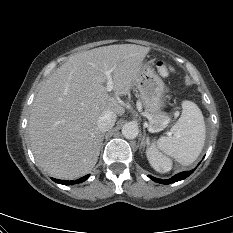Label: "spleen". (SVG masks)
<instances>
[{
	"label": "spleen",
	"instance_id": "1",
	"mask_svg": "<svg viewBox=\"0 0 233 233\" xmlns=\"http://www.w3.org/2000/svg\"><path fill=\"white\" fill-rule=\"evenodd\" d=\"M205 137L206 127L201 110L194 102L183 101L182 114L172 126L170 135L160 137L156 145L148 148L147 157L152 167L161 173L172 168V161L165 155L182 165H190L199 157Z\"/></svg>",
	"mask_w": 233,
	"mask_h": 233
}]
</instances>
